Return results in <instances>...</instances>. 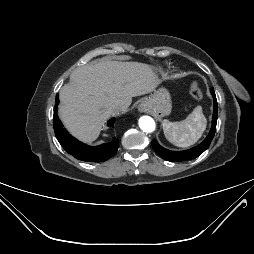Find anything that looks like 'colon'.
I'll return each mask as SVG.
<instances>
[{"label":"colon","mask_w":254,"mask_h":254,"mask_svg":"<svg viewBox=\"0 0 254 254\" xmlns=\"http://www.w3.org/2000/svg\"><path fill=\"white\" fill-rule=\"evenodd\" d=\"M190 94L195 100H201L203 98L202 91L196 82L192 83L190 87Z\"/></svg>","instance_id":"obj_1"}]
</instances>
